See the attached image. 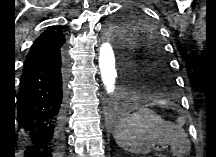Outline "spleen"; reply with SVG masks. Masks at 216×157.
<instances>
[{"instance_id": "obj_1", "label": "spleen", "mask_w": 216, "mask_h": 157, "mask_svg": "<svg viewBox=\"0 0 216 157\" xmlns=\"http://www.w3.org/2000/svg\"><path fill=\"white\" fill-rule=\"evenodd\" d=\"M169 125L152 110L142 108L119 122L114 139L120 148L134 154L148 153L155 145L175 148L180 139L168 129Z\"/></svg>"}]
</instances>
